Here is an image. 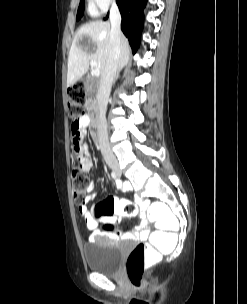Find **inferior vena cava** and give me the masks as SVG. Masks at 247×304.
Instances as JSON below:
<instances>
[{
  "mask_svg": "<svg viewBox=\"0 0 247 304\" xmlns=\"http://www.w3.org/2000/svg\"><path fill=\"white\" fill-rule=\"evenodd\" d=\"M110 22L111 31L110 39L107 51L106 66L101 74L100 83L97 91V104L99 108V114L96 118V126L98 130V137L102 155L111 167H117L118 162L116 157L111 151L108 142L107 122H106V110L111 87L116 76L118 61L120 56V37H121V15L116 3L112 4L110 10Z\"/></svg>",
  "mask_w": 247,
  "mask_h": 304,
  "instance_id": "inferior-vena-cava-1",
  "label": "inferior vena cava"
}]
</instances>
